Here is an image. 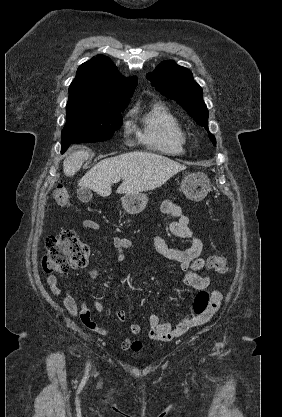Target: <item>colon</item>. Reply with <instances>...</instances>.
<instances>
[{"instance_id": "5ec220e1", "label": "colon", "mask_w": 282, "mask_h": 417, "mask_svg": "<svg viewBox=\"0 0 282 417\" xmlns=\"http://www.w3.org/2000/svg\"><path fill=\"white\" fill-rule=\"evenodd\" d=\"M51 196L56 207L67 208L70 204L69 193L63 185L54 186ZM47 253L42 260L45 272L57 274L84 267L89 259L87 244L75 237L65 229L57 235L46 238ZM210 267L216 272H223L226 268V259L221 255H214L210 260ZM210 305V294L201 291L193 301V310L196 315L203 314Z\"/></svg>"}]
</instances>
